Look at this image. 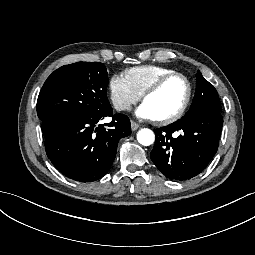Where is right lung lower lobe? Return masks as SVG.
<instances>
[{
    "mask_svg": "<svg viewBox=\"0 0 255 255\" xmlns=\"http://www.w3.org/2000/svg\"><path fill=\"white\" fill-rule=\"evenodd\" d=\"M108 116L112 121L104 125L98 124L99 119H69L45 129L47 156L61 173L80 182H92L107 173L119 140L131 134L126 115Z\"/></svg>",
    "mask_w": 255,
    "mask_h": 255,
    "instance_id": "1",
    "label": "right lung lower lobe"
}]
</instances>
